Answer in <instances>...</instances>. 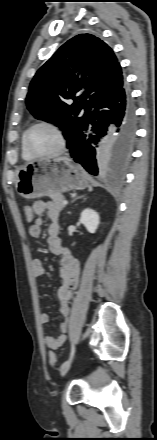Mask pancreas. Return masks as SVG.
Masks as SVG:
<instances>
[{
    "mask_svg": "<svg viewBox=\"0 0 157 440\" xmlns=\"http://www.w3.org/2000/svg\"><path fill=\"white\" fill-rule=\"evenodd\" d=\"M50 198L53 201L52 206L57 211H61L64 208V204L62 203L64 201V196L63 195H61V194L50 195Z\"/></svg>",
    "mask_w": 157,
    "mask_h": 440,
    "instance_id": "cf45deb5",
    "label": "pancreas"
}]
</instances>
